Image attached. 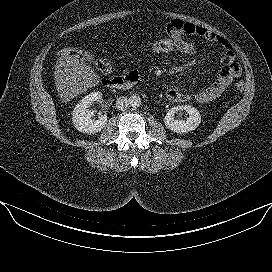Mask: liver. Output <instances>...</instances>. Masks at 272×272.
I'll return each instance as SVG.
<instances>
[{"label":"liver","instance_id":"1","mask_svg":"<svg viewBox=\"0 0 272 272\" xmlns=\"http://www.w3.org/2000/svg\"><path fill=\"white\" fill-rule=\"evenodd\" d=\"M99 78L94 69L78 56L63 55L56 62L54 80L62 102L67 103L96 86Z\"/></svg>","mask_w":272,"mask_h":272}]
</instances>
